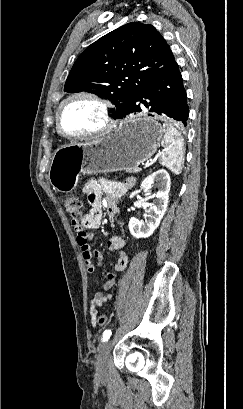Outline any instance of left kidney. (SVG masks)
I'll list each match as a JSON object with an SVG mask.
<instances>
[{
    "instance_id": "1",
    "label": "left kidney",
    "mask_w": 243,
    "mask_h": 409,
    "mask_svg": "<svg viewBox=\"0 0 243 409\" xmlns=\"http://www.w3.org/2000/svg\"><path fill=\"white\" fill-rule=\"evenodd\" d=\"M156 183L158 191L154 194L156 196L155 204L150 205L147 210L148 218L144 221H139L132 217L129 221V230L135 238H147L153 234L155 229L159 226L168 205L169 191L171 186L170 176L167 171L161 169L148 177L141 183V190L147 194L149 188Z\"/></svg>"
}]
</instances>
